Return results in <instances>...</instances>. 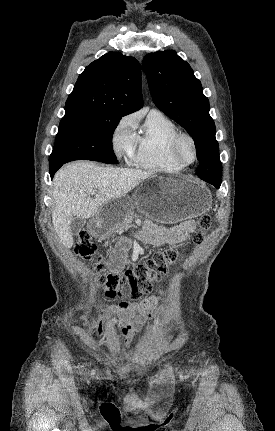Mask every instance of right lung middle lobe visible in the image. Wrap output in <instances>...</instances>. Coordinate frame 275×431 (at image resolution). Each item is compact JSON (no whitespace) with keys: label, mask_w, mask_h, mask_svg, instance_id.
<instances>
[{"label":"right lung middle lobe","mask_w":275,"mask_h":431,"mask_svg":"<svg viewBox=\"0 0 275 431\" xmlns=\"http://www.w3.org/2000/svg\"><path fill=\"white\" fill-rule=\"evenodd\" d=\"M121 116L110 114L65 115L59 125L50 165L74 160H93L113 164L112 135Z\"/></svg>","instance_id":"dd1d6c3e"}]
</instances>
